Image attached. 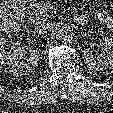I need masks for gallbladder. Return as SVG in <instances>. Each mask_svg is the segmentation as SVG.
<instances>
[{
    "label": "gallbladder",
    "mask_w": 113,
    "mask_h": 113,
    "mask_svg": "<svg viewBox=\"0 0 113 113\" xmlns=\"http://www.w3.org/2000/svg\"><path fill=\"white\" fill-rule=\"evenodd\" d=\"M5 1H6V0H0V8H1V10H4ZM13 1H15V0H13Z\"/></svg>",
    "instance_id": "obj_1"
}]
</instances>
